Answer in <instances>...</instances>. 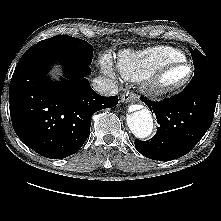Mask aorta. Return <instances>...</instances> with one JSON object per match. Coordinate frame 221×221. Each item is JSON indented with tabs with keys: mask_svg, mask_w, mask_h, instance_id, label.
<instances>
[{
	"mask_svg": "<svg viewBox=\"0 0 221 221\" xmlns=\"http://www.w3.org/2000/svg\"><path fill=\"white\" fill-rule=\"evenodd\" d=\"M127 125L133 135L139 139L150 136L153 130V118L147 108H142L127 115Z\"/></svg>",
	"mask_w": 221,
	"mask_h": 221,
	"instance_id": "1",
	"label": "aorta"
}]
</instances>
